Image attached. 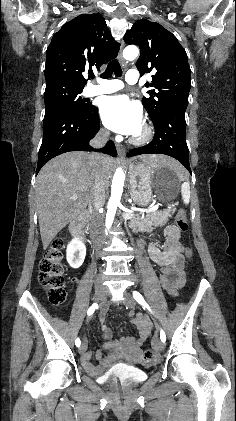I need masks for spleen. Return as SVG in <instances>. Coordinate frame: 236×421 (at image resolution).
<instances>
[{
	"instance_id": "1",
	"label": "spleen",
	"mask_w": 236,
	"mask_h": 421,
	"mask_svg": "<svg viewBox=\"0 0 236 421\" xmlns=\"http://www.w3.org/2000/svg\"><path fill=\"white\" fill-rule=\"evenodd\" d=\"M168 166H170V168H175V162H172V164H168ZM181 180H184V182H182L181 184V194L183 202L184 204H189L191 196L190 184L187 178H184V176H181Z\"/></svg>"
}]
</instances>
